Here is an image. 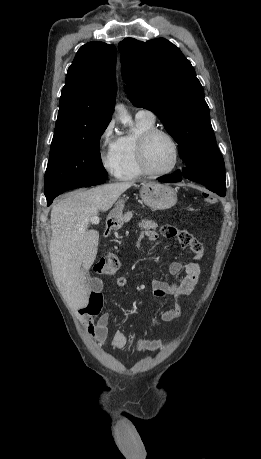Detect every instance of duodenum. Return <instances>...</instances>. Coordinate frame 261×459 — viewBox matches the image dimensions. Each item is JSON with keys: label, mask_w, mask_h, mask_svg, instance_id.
Segmentation results:
<instances>
[{"label": "duodenum", "mask_w": 261, "mask_h": 459, "mask_svg": "<svg viewBox=\"0 0 261 459\" xmlns=\"http://www.w3.org/2000/svg\"><path fill=\"white\" fill-rule=\"evenodd\" d=\"M114 227L112 225H108L107 227V234H110L113 231Z\"/></svg>", "instance_id": "410a0bca"}]
</instances>
